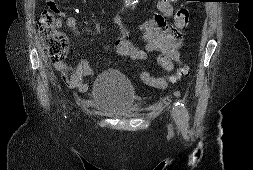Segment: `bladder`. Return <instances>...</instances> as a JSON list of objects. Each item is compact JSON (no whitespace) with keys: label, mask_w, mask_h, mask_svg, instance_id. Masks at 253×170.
<instances>
[{"label":"bladder","mask_w":253,"mask_h":170,"mask_svg":"<svg viewBox=\"0 0 253 170\" xmlns=\"http://www.w3.org/2000/svg\"><path fill=\"white\" fill-rule=\"evenodd\" d=\"M137 95L130 80L114 69L103 71L94 81L91 90L93 106L112 116L127 115Z\"/></svg>","instance_id":"bladder-1"}]
</instances>
